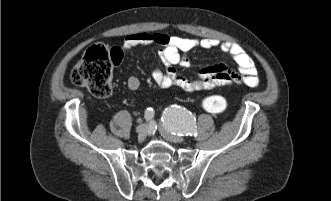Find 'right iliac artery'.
Masks as SVG:
<instances>
[{
    "mask_svg": "<svg viewBox=\"0 0 331 201\" xmlns=\"http://www.w3.org/2000/svg\"><path fill=\"white\" fill-rule=\"evenodd\" d=\"M144 117H145L146 121L151 120L154 117L153 109L152 108H147L146 111H145Z\"/></svg>",
    "mask_w": 331,
    "mask_h": 201,
    "instance_id": "obj_1",
    "label": "right iliac artery"
}]
</instances>
